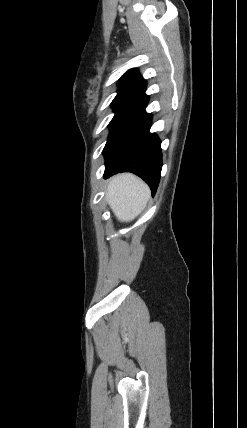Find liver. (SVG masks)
<instances>
[{
	"mask_svg": "<svg viewBox=\"0 0 247 428\" xmlns=\"http://www.w3.org/2000/svg\"><path fill=\"white\" fill-rule=\"evenodd\" d=\"M105 198L119 221L130 222L146 207L150 189L137 176L123 173L109 180Z\"/></svg>",
	"mask_w": 247,
	"mask_h": 428,
	"instance_id": "6515ba94",
	"label": "liver"
}]
</instances>
